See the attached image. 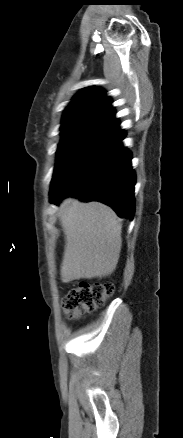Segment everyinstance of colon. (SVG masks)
I'll return each instance as SVG.
<instances>
[{
  "mask_svg": "<svg viewBox=\"0 0 183 438\" xmlns=\"http://www.w3.org/2000/svg\"><path fill=\"white\" fill-rule=\"evenodd\" d=\"M114 285L106 283L80 282L68 291L63 301V308L69 319H77L84 313L101 307L112 296Z\"/></svg>",
  "mask_w": 183,
  "mask_h": 438,
  "instance_id": "colon-1",
  "label": "colon"
}]
</instances>
